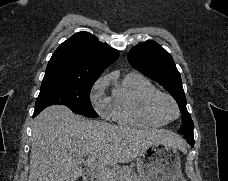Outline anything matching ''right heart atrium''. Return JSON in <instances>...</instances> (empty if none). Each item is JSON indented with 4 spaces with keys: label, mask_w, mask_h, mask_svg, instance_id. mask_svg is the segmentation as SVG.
I'll return each mask as SVG.
<instances>
[{
    "label": "right heart atrium",
    "mask_w": 228,
    "mask_h": 181,
    "mask_svg": "<svg viewBox=\"0 0 228 181\" xmlns=\"http://www.w3.org/2000/svg\"><path fill=\"white\" fill-rule=\"evenodd\" d=\"M101 96V95H100ZM96 108L99 112V114L103 118H109L111 116L110 114V107H109V101L106 98L101 99V103H97Z\"/></svg>",
    "instance_id": "right-heart-atrium-1"
}]
</instances>
